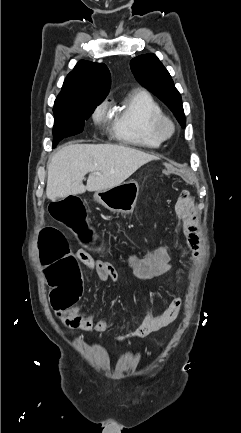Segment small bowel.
Listing matches in <instances>:
<instances>
[{
	"mask_svg": "<svg viewBox=\"0 0 241 433\" xmlns=\"http://www.w3.org/2000/svg\"><path fill=\"white\" fill-rule=\"evenodd\" d=\"M176 213L183 223V230L187 238L191 258L196 262L201 254V243L198 232V221L195 206L187 191H182L176 202ZM77 257L80 262L93 269L98 278L103 282L115 283L118 273L114 266L102 260L94 261L85 249L78 251ZM139 268L152 275H160L170 268V255L167 249H157L154 253L141 259ZM181 308V299L174 298L159 315L150 312L146 314L141 324L135 331L117 336L120 341L132 338H144L171 324L178 316ZM61 322L70 329H78L85 333H103L115 326V323L107 319L97 320L94 315L86 314L79 308L74 307L71 312H56Z\"/></svg>",
	"mask_w": 241,
	"mask_h": 433,
	"instance_id": "c3829d8e",
	"label": "small bowel"
}]
</instances>
